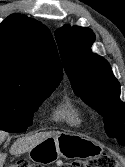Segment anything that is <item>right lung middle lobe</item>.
Listing matches in <instances>:
<instances>
[{
	"instance_id": "dd1d6c3e",
	"label": "right lung middle lobe",
	"mask_w": 125,
	"mask_h": 167,
	"mask_svg": "<svg viewBox=\"0 0 125 167\" xmlns=\"http://www.w3.org/2000/svg\"><path fill=\"white\" fill-rule=\"evenodd\" d=\"M55 88L32 94L0 91V129L11 133L26 131L32 125L33 112Z\"/></svg>"
}]
</instances>
